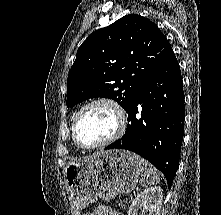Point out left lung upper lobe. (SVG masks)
<instances>
[{
    "mask_svg": "<svg viewBox=\"0 0 221 215\" xmlns=\"http://www.w3.org/2000/svg\"><path fill=\"white\" fill-rule=\"evenodd\" d=\"M170 49L159 28L137 14L91 33L69 71L67 107L105 97L127 112L141 85L162 65Z\"/></svg>",
    "mask_w": 221,
    "mask_h": 215,
    "instance_id": "1",
    "label": "left lung upper lobe"
}]
</instances>
